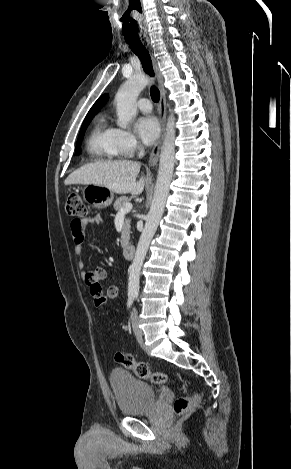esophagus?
I'll return each mask as SVG.
<instances>
[{
	"label": "esophagus",
	"instance_id": "esophagus-1",
	"mask_svg": "<svg viewBox=\"0 0 291 469\" xmlns=\"http://www.w3.org/2000/svg\"><path fill=\"white\" fill-rule=\"evenodd\" d=\"M143 43L145 46L148 48L150 51L151 59H152V64L153 68L157 77L158 81V86L160 90V101H159V114H160V119H161V135L157 143L154 145L150 157H149V165L150 166H155L158 162L159 159V152L165 132V121H166V98H165V89L163 85V76L161 74V71L159 69L158 63L156 58L153 55L151 44L148 38H143Z\"/></svg>",
	"mask_w": 291,
	"mask_h": 469
}]
</instances>
